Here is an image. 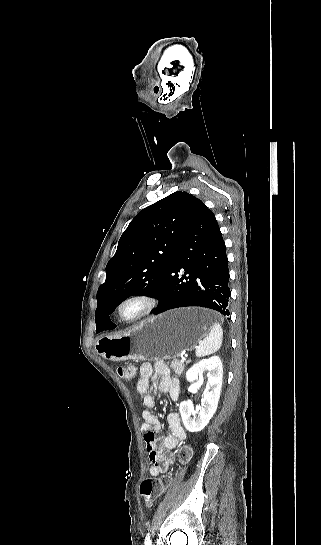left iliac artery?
I'll list each match as a JSON object with an SVG mask.
<instances>
[{"instance_id": "left-iliac-artery-1", "label": "left iliac artery", "mask_w": 321, "mask_h": 545, "mask_svg": "<svg viewBox=\"0 0 321 545\" xmlns=\"http://www.w3.org/2000/svg\"><path fill=\"white\" fill-rule=\"evenodd\" d=\"M145 545H152L151 539H150V535H149V534L146 535V538H145Z\"/></svg>"}]
</instances>
